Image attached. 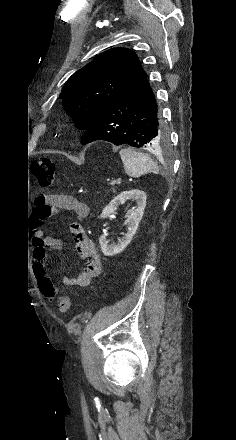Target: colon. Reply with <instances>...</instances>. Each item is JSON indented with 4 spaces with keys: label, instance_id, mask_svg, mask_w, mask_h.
I'll return each mask as SVG.
<instances>
[{
    "label": "colon",
    "instance_id": "1",
    "mask_svg": "<svg viewBox=\"0 0 236 440\" xmlns=\"http://www.w3.org/2000/svg\"><path fill=\"white\" fill-rule=\"evenodd\" d=\"M54 173L55 164L50 158L41 157L35 162L33 175L40 186L49 187L53 182ZM39 290L48 299H56L58 310L61 313L66 314L70 312L71 302L69 297L66 295H58L56 288L49 278L45 277V279L39 283Z\"/></svg>",
    "mask_w": 236,
    "mask_h": 440
}]
</instances>
